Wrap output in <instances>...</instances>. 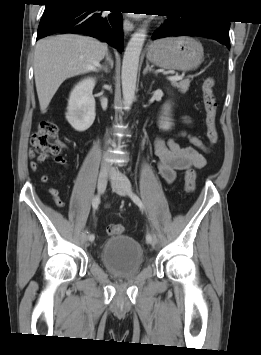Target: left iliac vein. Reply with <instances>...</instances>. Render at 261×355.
<instances>
[{"label":"left iliac vein","instance_id":"1","mask_svg":"<svg viewBox=\"0 0 261 355\" xmlns=\"http://www.w3.org/2000/svg\"><path fill=\"white\" fill-rule=\"evenodd\" d=\"M122 178H123L122 182H120L118 179H112L111 181L112 188L117 194L121 196H127L129 191L131 190V185L130 182L125 177ZM150 244H152L153 246L157 245L156 236L153 237V240Z\"/></svg>","mask_w":261,"mask_h":355}]
</instances>
